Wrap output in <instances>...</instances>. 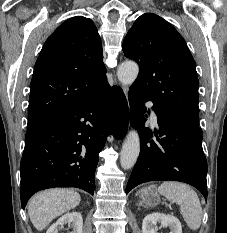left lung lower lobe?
Masks as SVG:
<instances>
[{
    "instance_id": "obj_1",
    "label": "left lung lower lobe",
    "mask_w": 227,
    "mask_h": 233,
    "mask_svg": "<svg viewBox=\"0 0 227 233\" xmlns=\"http://www.w3.org/2000/svg\"><path fill=\"white\" fill-rule=\"evenodd\" d=\"M128 98L131 125L139 132L141 151L126 193L144 182L174 180L194 186L207 201V162L199 125L133 88L129 89ZM149 100L153 102L152 109L158 118L159 127L154 131L144 126L147 120L144 103ZM153 135L156 140L151 139Z\"/></svg>"
}]
</instances>
